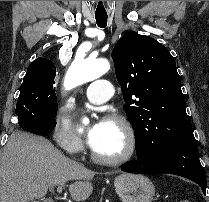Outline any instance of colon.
Instances as JSON below:
<instances>
[{
	"label": "colon",
	"mask_w": 209,
	"mask_h": 202,
	"mask_svg": "<svg viewBox=\"0 0 209 202\" xmlns=\"http://www.w3.org/2000/svg\"><path fill=\"white\" fill-rule=\"evenodd\" d=\"M179 202H190L189 200H180Z\"/></svg>",
	"instance_id": "1"
}]
</instances>
